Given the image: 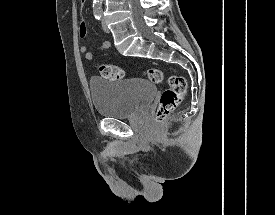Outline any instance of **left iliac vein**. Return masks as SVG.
<instances>
[{"mask_svg":"<svg viewBox=\"0 0 275 215\" xmlns=\"http://www.w3.org/2000/svg\"><path fill=\"white\" fill-rule=\"evenodd\" d=\"M102 28H103L104 32L109 33V29L106 25L104 17L102 18Z\"/></svg>","mask_w":275,"mask_h":215,"instance_id":"4c4485c4","label":"left iliac vein"}]
</instances>
